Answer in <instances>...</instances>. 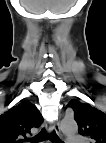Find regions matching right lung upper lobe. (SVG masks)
I'll use <instances>...</instances> for the list:
<instances>
[{
    "label": "right lung upper lobe",
    "instance_id": "obj_1",
    "mask_svg": "<svg viewBox=\"0 0 106 143\" xmlns=\"http://www.w3.org/2000/svg\"><path fill=\"white\" fill-rule=\"evenodd\" d=\"M43 118L28 100L0 115V143H21L32 128L39 127Z\"/></svg>",
    "mask_w": 106,
    "mask_h": 143
}]
</instances>
